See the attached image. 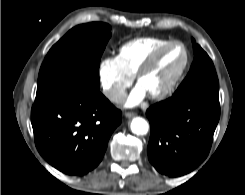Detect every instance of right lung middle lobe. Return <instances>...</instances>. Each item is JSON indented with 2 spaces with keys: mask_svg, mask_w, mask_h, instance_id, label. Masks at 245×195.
<instances>
[{
  "mask_svg": "<svg viewBox=\"0 0 245 195\" xmlns=\"http://www.w3.org/2000/svg\"><path fill=\"white\" fill-rule=\"evenodd\" d=\"M111 27L93 22L78 25L48 52L41 66L35 102L65 94L99 90V63Z\"/></svg>",
  "mask_w": 245,
  "mask_h": 195,
  "instance_id": "dd1d6c3e",
  "label": "right lung middle lobe"
}]
</instances>
